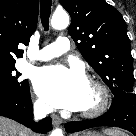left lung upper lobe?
I'll use <instances>...</instances> for the list:
<instances>
[{
    "label": "left lung upper lobe",
    "instance_id": "left-lung-upper-lobe-1",
    "mask_svg": "<svg viewBox=\"0 0 136 136\" xmlns=\"http://www.w3.org/2000/svg\"><path fill=\"white\" fill-rule=\"evenodd\" d=\"M71 15L69 34L113 95L133 93L130 40L122 15L104 0H60Z\"/></svg>",
    "mask_w": 136,
    "mask_h": 136
}]
</instances>
